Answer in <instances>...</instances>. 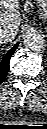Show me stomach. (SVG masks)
<instances>
[{"label":"stomach","instance_id":"obj_1","mask_svg":"<svg viewBox=\"0 0 47 129\" xmlns=\"http://www.w3.org/2000/svg\"><path fill=\"white\" fill-rule=\"evenodd\" d=\"M39 6L41 16L47 20V0H35Z\"/></svg>","mask_w":47,"mask_h":129}]
</instances>
